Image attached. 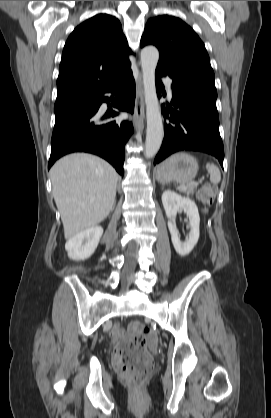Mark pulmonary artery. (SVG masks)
<instances>
[{
    "label": "pulmonary artery",
    "mask_w": 271,
    "mask_h": 418,
    "mask_svg": "<svg viewBox=\"0 0 271 418\" xmlns=\"http://www.w3.org/2000/svg\"><path fill=\"white\" fill-rule=\"evenodd\" d=\"M164 82L166 84L169 96H172L171 80L169 78H165Z\"/></svg>",
    "instance_id": "e3ab8cb5"
}]
</instances>
